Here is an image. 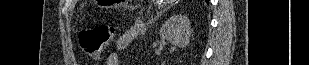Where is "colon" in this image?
I'll list each match as a JSON object with an SVG mask.
<instances>
[{
  "mask_svg": "<svg viewBox=\"0 0 309 65\" xmlns=\"http://www.w3.org/2000/svg\"><path fill=\"white\" fill-rule=\"evenodd\" d=\"M118 32L115 25H95L83 29L79 33V43L82 50L93 60H98L110 44H112Z\"/></svg>",
  "mask_w": 309,
  "mask_h": 65,
  "instance_id": "1",
  "label": "colon"
}]
</instances>
